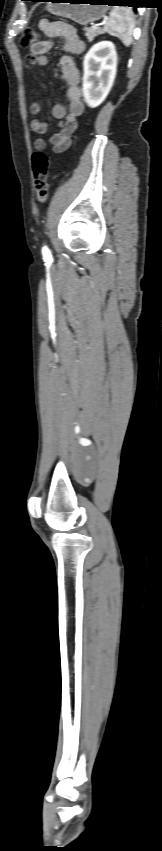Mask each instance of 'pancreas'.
Wrapping results in <instances>:
<instances>
[{
	"mask_svg": "<svg viewBox=\"0 0 162 851\" xmlns=\"http://www.w3.org/2000/svg\"><path fill=\"white\" fill-rule=\"evenodd\" d=\"M85 35L87 37L88 42H92L95 37L104 33V30L101 28H85Z\"/></svg>",
	"mask_w": 162,
	"mask_h": 851,
	"instance_id": "1",
	"label": "pancreas"
}]
</instances>
